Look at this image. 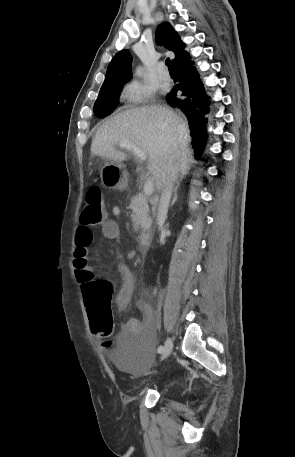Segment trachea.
Instances as JSON below:
<instances>
[{"instance_id":"3493384b","label":"trachea","mask_w":295,"mask_h":457,"mask_svg":"<svg viewBox=\"0 0 295 457\" xmlns=\"http://www.w3.org/2000/svg\"><path fill=\"white\" fill-rule=\"evenodd\" d=\"M165 64H166V66L168 67L169 70H174V66L172 65V63H171L169 58L166 59Z\"/></svg>"}]
</instances>
